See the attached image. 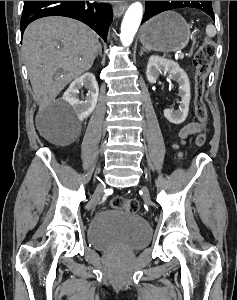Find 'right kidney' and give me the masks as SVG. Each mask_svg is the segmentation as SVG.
I'll return each instance as SVG.
<instances>
[{"label": "right kidney", "mask_w": 237, "mask_h": 300, "mask_svg": "<svg viewBox=\"0 0 237 300\" xmlns=\"http://www.w3.org/2000/svg\"><path fill=\"white\" fill-rule=\"evenodd\" d=\"M88 89L86 97H80L81 89ZM99 95L98 83L92 73H85L82 77L75 79L69 89L65 91L63 99L72 105L79 121L87 119L93 113ZM84 99V101H81Z\"/></svg>", "instance_id": "obj_1"}]
</instances>
